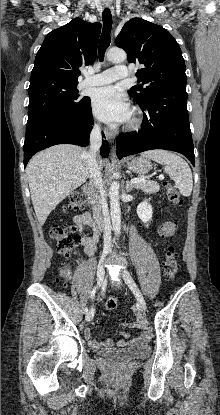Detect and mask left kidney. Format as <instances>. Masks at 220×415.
<instances>
[{
  "mask_svg": "<svg viewBox=\"0 0 220 415\" xmlns=\"http://www.w3.org/2000/svg\"><path fill=\"white\" fill-rule=\"evenodd\" d=\"M152 213H153L152 206L149 204L147 200H144L137 207V214L139 218L145 223L151 220Z\"/></svg>",
  "mask_w": 220,
  "mask_h": 415,
  "instance_id": "1",
  "label": "left kidney"
}]
</instances>
